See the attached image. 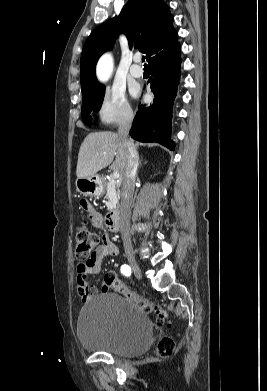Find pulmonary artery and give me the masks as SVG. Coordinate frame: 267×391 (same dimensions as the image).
Here are the masks:
<instances>
[{
	"mask_svg": "<svg viewBox=\"0 0 267 391\" xmlns=\"http://www.w3.org/2000/svg\"><path fill=\"white\" fill-rule=\"evenodd\" d=\"M134 63L130 67V73L133 77H141L143 75V69L141 66L138 65L140 61V56L136 55L133 58Z\"/></svg>",
	"mask_w": 267,
	"mask_h": 391,
	"instance_id": "e3ab8cb5",
	"label": "pulmonary artery"
}]
</instances>
